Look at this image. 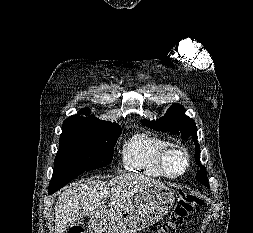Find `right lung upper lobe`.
Returning a JSON list of instances; mask_svg holds the SVG:
<instances>
[{
	"mask_svg": "<svg viewBox=\"0 0 253 233\" xmlns=\"http://www.w3.org/2000/svg\"><path fill=\"white\" fill-rule=\"evenodd\" d=\"M80 114H86V115H88V114H90V109L89 108L82 109L80 111ZM71 117H82V116L74 115V116H71ZM88 118H91V117H88Z\"/></svg>",
	"mask_w": 253,
	"mask_h": 233,
	"instance_id": "right-lung-upper-lobe-1",
	"label": "right lung upper lobe"
}]
</instances>
